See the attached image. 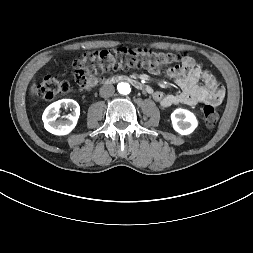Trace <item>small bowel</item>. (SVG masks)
<instances>
[{
	"mask_svg": "<svg viewBox=\"0 0 253 253\" xmlns=\"http://www.w3.org/2000/svg\"><path fill=\"white\" fill-rule=\"evenodd\" d=\"M146 72L150 76H167L175 81L180 92L166 94L155 90L153 99L162 107L168 108L180 104L197 105L199 103H210L220 105L225 98L222 85L208 71L203 70L192 58L184 57L178 65H167L165 68L150 65Z\"/></svg>",
	"mask_w": 253,
	"mask_h": 253,
	"instance_id": "c3829d8e",
	"label": "small bowel"
}]
</instances>
